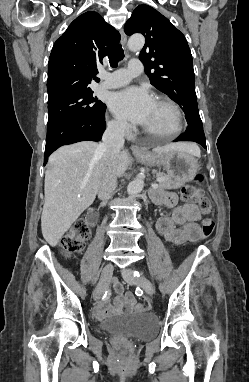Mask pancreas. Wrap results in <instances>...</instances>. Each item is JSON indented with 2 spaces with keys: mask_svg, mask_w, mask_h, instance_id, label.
Returning <instances> with one entry per match:
<instances>
[{
  "mask_svg": "<svg viewBox=\"0 0 249 382\" xmlns=\"http://www.w3.org/2000/svg\"><path fill=\"white\" fill-rule=\"evenodd\" d=\"M157 178H164L165 180L162 182H159L158 184V190H164V189H178L184 185V181L180 178L171 177L169 175H165L163 172H153Z\"/></svg>",
  "mask_w": 249,
  "mask_h": 382,
  "instance_id": "obj_1",
  "label": "pancreas"
}]
</instances>
